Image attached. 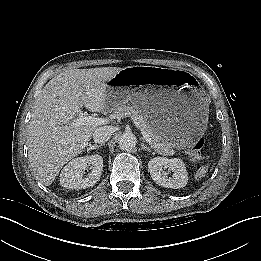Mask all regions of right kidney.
<instances>
[{"instance_id": "right-kidney-1", "label": "right kidney", "mask_w": 261, "mask_h": 261, "mask_svg": "<svg viewBox=\"0 0 261 261\" xmlns=\"http://www.w3.org/2000/svg\"><path fill=\"white\" fill-rule=\"evenodd\" d=\"M91 172L84 177L87 166ZM103 171V158L98 154L77 157L71 160L60 173V184L67 189H85L100 180Z\"/></svg>"}]
</instances>
